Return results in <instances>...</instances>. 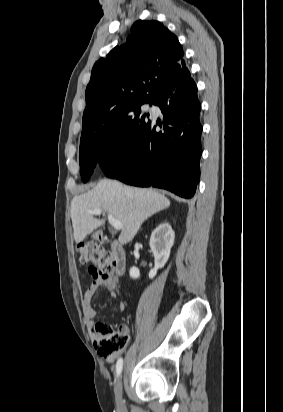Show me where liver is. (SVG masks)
I'll return each instance as SVG.
<instances>
[{
	"mask_svg": "<svg viewBox=\"0 0 283 412\" xmlns=\"http://www.w3.org/2000/svg\"><path fill=\"white\" fill-rule=\"evenodd\" d=\"M169 206L170 200L155 190L101 180L93 189L75 196L71 202L74 239L79 243L94 229L105 225L104 219L94 218L87 210L100 208L119 220L123 225L119 242L127 244L133 240L145 220Z\"/></svg>",
	"mask_w": 283,
	"mask_h": 412,
	"instance_id": "1",
	"label": "liver"
}]
</instances>
